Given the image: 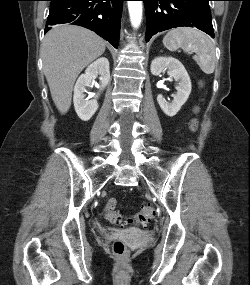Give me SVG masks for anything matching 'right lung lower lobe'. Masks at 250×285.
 <instances>
[{"label":"right lung lower lobe","mask_w":250,"mask_h":285,"mask_svg":"<svg viewBox=\"0 0 250 285\" xmlns=\"http://www.w3.org/2000/svg\"><path fill=\"white\" fill-rule=\"evenodd\" d=\"M45 32L52 25L70 23L95 31L118 47L122 4L125 0H50Z\"/></svg>","instance_id":"1"}]
</instances>
